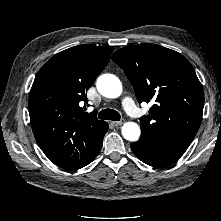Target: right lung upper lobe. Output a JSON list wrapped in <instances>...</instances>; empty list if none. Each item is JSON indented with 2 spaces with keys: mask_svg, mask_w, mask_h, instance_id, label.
<instances>
[{
  "mask_svg": "<svg viewBox=\"0 0 221 221\" xmlns=\"http://www.w3.org/2000/svg\"><path fill=\"white\" fill-rule=\"evenodd\" d=\"M113 49L87 44L69 48L54 55L35 77L29 94L32 130L41 150L59 167L79 168L94 149L105 122L81 106Z\"/></svg>",
  "mask_w": 221,
  "mask_h": 221,
  "instance_id": "1",
  "label": "right lung upper lobe"
}]
</instances>
